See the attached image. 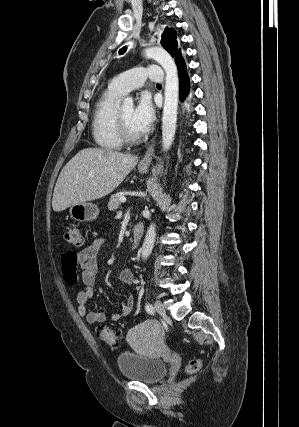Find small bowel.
<instances>
[{
    "instance_id": "1",
    "label": "small bowel",
    "mask_w": 299,
    "mask_h": 427,
    "mask_svg": "<svg viewBox=\"0 0 299 427\" xmlns=\"http://www.w3.org/2000/svg\"><path fill=\"white\" fill-rule=\"evenodd\" d=\"M104 238L96 237L88 246L79 252H66L61 257L62 272L64 280L70 285L78 283L80 277L78 266L82 269V282L84 289L78 292L76 300L78 303V313L90 323H104L107 317L102 312H93L87 309V304L94 295V285L99 272V254ZM120 281L128 286L134 284V274L130 268H125L120 272ZM134 300L132 296L127 297L120 310L111 316L112 321H120L132 311Z\"/></svg>"
}]
</instances>
